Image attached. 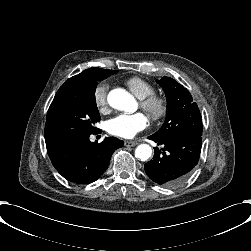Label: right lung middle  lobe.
I'll return each instance as SVG.
<instances>
[{"instance_id":"right-lung-middle-lobe-1","label":"right lung middle lobe","mask_w":251,"mask_h":251,"mask_svg":"<svg viewBox=\"0 0 251 251\" xmlns=\"http://www.w3.org/2000/svg\"><path fill=\"white\" fill-rule=\"evenodd\" d=\"M117 71L94 68L84 73L76 84L59 89L46 117L45 129L62 142L97 132L94 124L100 120L95 101L97 82Z\"/></svg>"}]
</instances>
